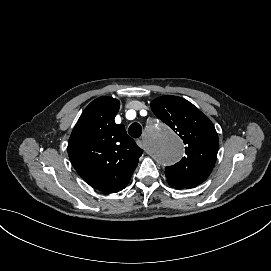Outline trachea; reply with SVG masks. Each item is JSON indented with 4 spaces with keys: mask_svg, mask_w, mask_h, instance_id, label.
I'll return each mask as SVG.
<instances>
[{
    "mask_svg": "<svg viewBox=\"0 0 271 271\" xmlns=\"http://www.w3.org/2000/svg\"><path fill=\"white\" fill-rule=\"evenodd\" d=\"M128 133L133 138H139L142 134V127L139 123H132L128 128Z\"/></svg>",
    "mask_w": 271,
    "mask_h": 271,
    "instance_id": "trachea-1",
    "label": "trachea"
}]
</instances>
